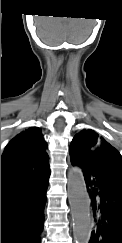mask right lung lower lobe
I'll use <instances>...</instances> for the list:
<instances>
[{
  "mask_svg": "<svg viewBox=\"0 0 122 243\" xmlns=\"http://www.w3.org/2000/svg\"><path fill=\"white\" fill-rule=\"evenodd\" d=\"M50 169L1 188V243H40Z\"/></svg>",
  "mask_w": 122,
  "mask_h": 243,
  "instance_id": "98d812e1",
  "label": "right lung lower lobe"
}]
</instances>
